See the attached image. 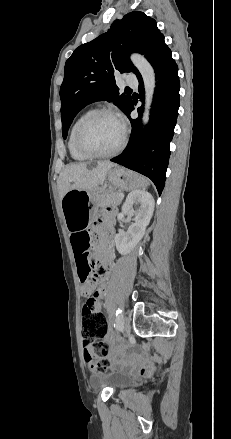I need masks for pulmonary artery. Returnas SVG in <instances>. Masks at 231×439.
Instances as JSON below:
<instances>
[{
	"label": "pulmonary artery",
	"mask_w": 231,
	"mask_h": 439,
	"mask_svg": "<svg viewBox=\"0 0 231 439\" xmlns=\"http://www.w3.org/2000/svg\"><path fill=\"white\" fill-rule=\"evenodd\" d=\"M125 83L128 86H132V87H137L138 85V80L134 75L128 74L125 78Z\"/></svg>",
	"instance_id": "e3ab8cb5"
}]
</instances>
